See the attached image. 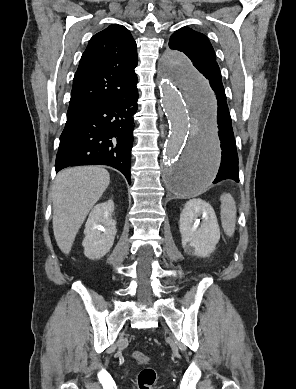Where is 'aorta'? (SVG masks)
<instances>
[{
	"label": "aorta",
	"instance_id": "1",
	"mask_svg": "<svg viewBox=\"0 0 296 389\" xmlns=\"http://www.w3.org/2000/svg\"><path fill=\"white\" fill-rule=\"evenodd\" d=\"M159 72L161 103L170 127L163 151L165 186L193 197L209 189L220 165L216 91L181 52H165Z\"/></svg>",
	"mask_w": 296,
	"mask_h": 389
}]
</instances>
